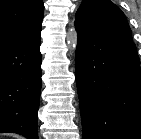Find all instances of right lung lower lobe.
<instances>
[{"instance_id":"98d812e1","label":"right lung lower lobe","mask_w":141,"mask_h":139,"mask_svg":"<svg viewBox=\"0 0 141 139\" xmlns=\"http://www.w3.org/2000/svg\"><path fill=\"white\" fill-rule=\"evenodd\" d=\"M40 36L0 49V133L38 139Z\"/></svg>"}]
</instances>
